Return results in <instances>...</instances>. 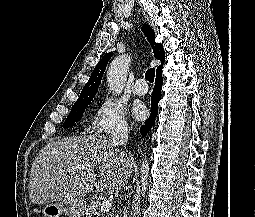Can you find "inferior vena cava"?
Segmentation results:
<instances>
[{"label": "inferior vena cava", "instance_id": "obj_1", "mask_svg": "<svg viewBox=\"0 0 255 217\" xmlns=\"http://www.w3.org/2000/svg\"><path fill=\"white\" fill-rule=\"evenodd\" d=\"M128 141V130L126 127L117 129L111 136L113 147L124 146Z\"/></svg>", "mask_w": 255, "mask_h": 217}]
</instances>
